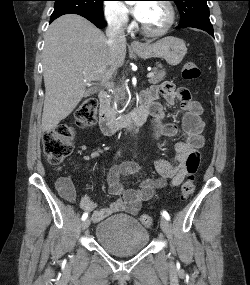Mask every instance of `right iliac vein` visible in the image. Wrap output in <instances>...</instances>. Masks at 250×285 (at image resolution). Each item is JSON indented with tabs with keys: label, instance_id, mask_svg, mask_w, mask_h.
<instances>
[{
	"label": "right iliac vein",
	"instance_id": "right-iliac-vein-1",
	"mask_svg": "<svg viewBox=\"0 0 250 285\" xmlns=\"http://www.w3.org/2000/svg\"><path fill=\"white\" fill-rule=\"evenodd\" d=\"M89 225H90V219H85L82 223V226H81L82 230L87 229L89 227Z\"/></svg>",
	"mask_w": 250,
	"mask_h": 285
}]
</instances>
